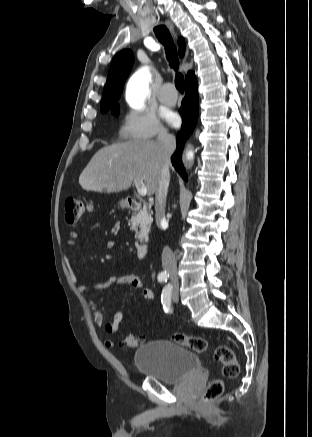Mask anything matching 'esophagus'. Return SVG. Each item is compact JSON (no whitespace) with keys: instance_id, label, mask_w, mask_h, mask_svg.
Returning <instances> with one entry per match:
<instances>
[{"instance_id":"1","label":"esophagus","mask_w":312,"mask_h":437,"mask_svg":"<svg viewBox=\"0 0 312 437\" xmlns=\"http://www.w3.org/2000/svg\"><path fill=\"white\" fill-rule=\"evenodd\" d=\"M166 23H167L168 27L174 32L173 24L169 20H167ZM174 35H175V32H174Z\"/></svg>"}]
</instances>
